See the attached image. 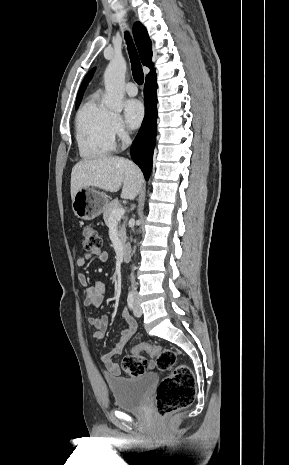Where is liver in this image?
<instances>
[{"label":"liver","instance_id":"6515ba94","mask_svg":"<svg viewBox=\"0 0 289 465\" xmlns=\"http://www.w3.org/2000/svg\"><path fill=\"white\" fill-rule=\"evenodd\" d=\"M144 183L141 170L130 160L105 156L88 159L74 165L71 173V198L86 187H97L117 192L122 186L121 198L133 200Z\"/></svg>","mask_w":289,"mask_h":465}]
</instances>
